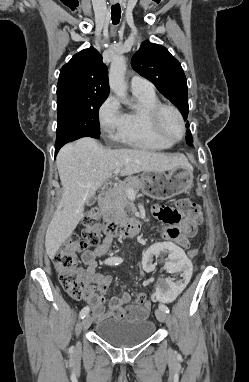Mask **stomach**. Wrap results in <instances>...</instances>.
<instances>
[{"mask_svg": "<svg viewBox=\"0 0 249 382\" xmlns=\"http://www.w3.org/2000/svg\"><path fill=\"white\" fill-rule=\"evenodd\" d=\"M143 185L141 190L144 194L157 200H164L178 195L193 185L192 168L179 166L168 173L144 172L141 175Z\"/></svg>", "mask_w": 249, "mask_h": 382, "instance_id": "stomach-1", "label": "stomach"}]
</instances>
